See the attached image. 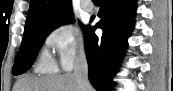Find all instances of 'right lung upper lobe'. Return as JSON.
Wrapping results in <instances>:
<instances>
[{
    "mask_svg": "<svg viewBox=\"0 0 173 91\" xmlns=\"http://www.w3.org/2000/svg\"><path fill=\"white\" fill-rule=\"evenodd\" d=\"M69 0H31L25 31L44 25H53L72 16Z\"/></svg>",
    "mask_w": 173,
    "mask_h": 91,
    "instance_id": "obj_1",
    "label": "right lung upper lobe"
}]
</instances>
